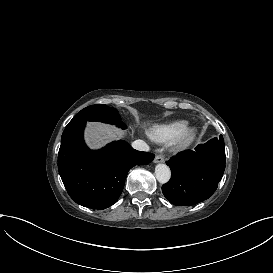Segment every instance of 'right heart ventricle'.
Wrapping results in <instances>:
<instances>
[{
    "mask_svg": "<svg viewBox=\"0 0 273 273\" xmlns=\"http://www.w3.org/2000/svg\"><path fill=\"white\" fill-rule=\"evenodd\" d=\"M188 121L177 120L175 122L154 126L150 132V138L156 142H169L176 140L187 127Z\"/></svg>",
    "mask_w": 273,
    "mask_h": 273,
    "instance_id": "e07e8e85",
    "label": "right heart ventricle"
}]
</instances>
